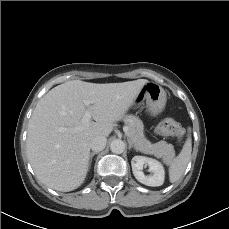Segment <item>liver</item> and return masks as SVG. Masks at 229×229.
Masks as SVG:
<instances>
[{"label":"liver","mask_w":229,"mask_h":229,"mask_svg":"<svg viewBox=\"0 0 229 229\" xmlns=\"http://www.w3.org/2000/svg\"><path fill=\"white\" fill-rule=\"evenodd\" d=\"M148 82L138 79L99 84L72 80L45 94L29 120L26 143L37 178L57 191L78 188L88 172L90 141L112 132L114 122L124 117ZM84 101H89L90 107ZM87 110L95 122L83 124Z\"/></svg>","instance_id":"1"}]
</instances>
